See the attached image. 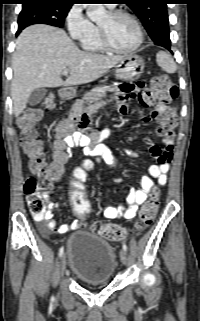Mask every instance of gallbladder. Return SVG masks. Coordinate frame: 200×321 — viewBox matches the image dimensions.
Listing matches in <instances>:
<instances>
[{
    "instance_id": "obj_1",
    "label": "gallbladder",
    "mask_w": 200,
    "mask_h": 321,
    "mask_svg": "<svg viewBox=\"0 0 200 321\" xmlns=\"http://www.w3.org/2000/svg\"><path fill=\"white\" fill-rule=\"evenodd\" d=\"M47 94V89L46 88H38L35 89L29 96L28 98V103L31 106H36L38 105L46 96Z\"/></svg>"
}]
</instances>
